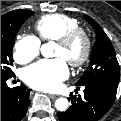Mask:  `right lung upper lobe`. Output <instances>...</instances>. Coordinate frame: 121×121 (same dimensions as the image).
<instances>
[{
	"label": "right lung upper lobe",
	"mask_w": 121,
	"mask_h": 121,
	"mask_svg": "<svg viewBox=\"0 0 121 121\" xmlns=\"http://www.w3.org/2000/svg\"><path fill=\"white\" fill-rule=\"evenodd\" d=\"M18 11H20V10H14V11H11V12L4 14L3 16H1V20L11 17L12 15L16 14Z\"/></svg>",
	"instance_id": "obj_1"
}]
</instances>
